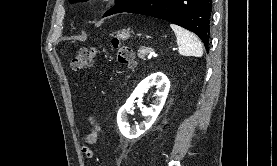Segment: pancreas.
I'll return each instance as SVG.
<instances>
[{
    "label": "pancreas",
    "mask_w": 277,
    "mask_h": 166,
    "mask_svg": "<svg viewBox=\"0 0 277 166\" xmlns=\"http://www.w3.org/2000/svg\"><path fill=\"white\" fill-rule=\"evenodd\" d=\"M152 49L151 48H148V47H141L139 50H138V57L141 58V59H144L145 58V55L150 52Z\"/></svg>",
    "instance_id": "cf45deb5"
}]
</instances>
